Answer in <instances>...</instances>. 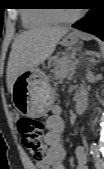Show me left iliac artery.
<instances>
[{"mask_svg":"<svg viewBox=\"0 0 104 169\" xmlns=\"http://www.w3.org/2000/svg\"><path fill=\"white\" fill-rule=\"evenodd\" d=\"M90 153L95 159L100 157L98 146L96 143H92L90 145Z\"/></svg>","mask_w":104,"mask_h":169,"instance_id":"1","label":"left iliac artery"}]
</instances>
